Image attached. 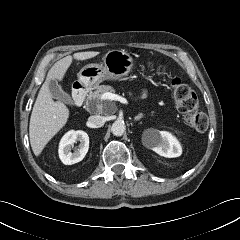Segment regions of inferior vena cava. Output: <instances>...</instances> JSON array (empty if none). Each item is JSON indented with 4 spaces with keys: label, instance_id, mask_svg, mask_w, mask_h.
I'll list each match as a JSON object with an SVG mask.
<instances>
[{
    "label": "inferior vena cava",
    "instance_id": "602c4592",
    "mask_svg": "<svg viewBox=\"0 0 240 240\" xmlns=\"http://www.w3.org/2000/svg\"><path fill=\"white\" fill-rule=\"evenodd\" d=\"M106 122V118L100 115H93L88 118V123L92 128L102 127Z\"/></svg>",
    "mask_w": 240,
    "mask_h": 240
}]
</instances>
